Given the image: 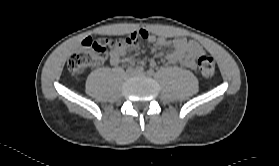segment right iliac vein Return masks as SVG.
<instances>
[{
    "label": "right iliac vein",
    "mask_w": 279,
    "mask_h": 166,
    "mask_svg": "<svg viewBox=\"0 0 279 166\" xmlns=\"http://www.w3.org/2000/svg\"><path fill=\"white\" fill-rule=\"evenodd\" d=\"M134 72L133 71H129V74H133Z\"/></svg>",
    "instance_id": "right-iliac-vein-1"
}]
</instances>
